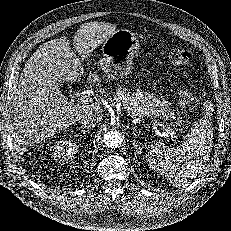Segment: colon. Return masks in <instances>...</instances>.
Returning <instances> with one entry per match:
<instances>
[{"instance_id": "1", "label": "colon", "mask_w": 231, "mask_h": 231, "mask_svg": "<svg viewBox=\"0 0 231 231\" xmlns=\"http://www.w3.org/2000/svg\"><path fill=\"white\" fill-rule=\"evenodd\" d=\"M168 58L174 66L185 68L190 64L192 55L190 51L186 49L176 48L169 51ZM178 95L180 105L184 108H189L194 99L191 90L187 87H181L178 91Z\"/></svg>"}]
</instances>
